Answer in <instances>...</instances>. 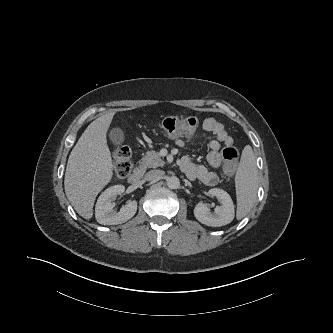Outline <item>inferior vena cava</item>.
<instances>
[{
    "instance_id": "602c4592",
    "label": "inferior vena cava",
    "mask_w": 333,
    "mask_h": 333,
    "mask_svg": "<svg viewBox=\"0 0 333 333\" xmlns=\"http://www.w3.org/2000/svg\"><path fill=\"white\" fill-rule=\"evenodd\" d=\"M163 172L161 170H151L145 174V179L147 181L158 179Z\"/></svg>"
}]
</instances>
